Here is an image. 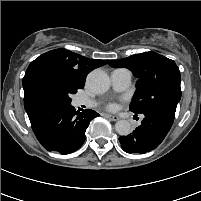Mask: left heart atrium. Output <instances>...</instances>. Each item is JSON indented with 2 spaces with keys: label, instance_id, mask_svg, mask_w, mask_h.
<instances>
[{
  "label": "left heart atrium",
  "instance_id": "39dd6f15",
  "mask_svg": "<svg viewBox=\"0 0 201 201\" xmlns=\"http://www.w3.org/2000/svg\"><path fill=\"white\" fill-rule=\"evenodd\" d=\"M108 108L111 109V110H115L117 108V104L116 103H110L108 105Z\"/></svg>",
  "mask_w": 201,
  "mask_h": 201
}]
</instances>
